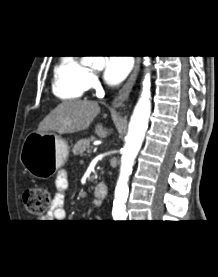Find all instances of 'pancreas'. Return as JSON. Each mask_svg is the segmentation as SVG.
<instances>
[{"label": "pancreas", "mask_w": 218, "mask_h": 277, "mask_svg": "<svg viewBox=\"0 0 218 277\" xmlns=\"http://www.w3.org/2000/svg\"><path fill=\"white\" fill-rule=\"evenodd\" d=\"M91 139H81L73 147L72 152L74 155H82L86 150L90 152Z\"/></svg>", "instance_id": "1"}]
</instances>
